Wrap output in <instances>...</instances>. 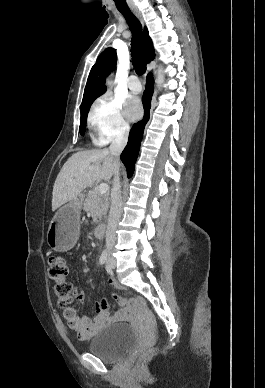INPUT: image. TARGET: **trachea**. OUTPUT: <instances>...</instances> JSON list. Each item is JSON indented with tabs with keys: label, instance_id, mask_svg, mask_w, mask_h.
Segmentation results:
<instances>
[{
	"label": "trachea",
	"instance_id": "3493384b",
	"mask_svg": "<svg viewBox=\"0 0 265 388\" xmlns=\"http://www.w3.org/2000/svg\"><path fill=\"white\" fill-rule=\"evenodd\" d=\"M119 12L124 16L132 32L131 55L134 69L136 73L142 75L146 72V58L141 23L131 10H119Z\"/></svg>",
	"mask_w": 265,
	"mask_h": 388
}]
</instances>
